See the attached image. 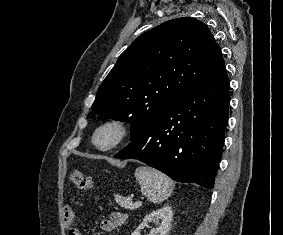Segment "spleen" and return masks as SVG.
Returning a JSON list of instances; mask_svg holds the SVG:
<instances>
[{
  "mask_svg": "<svg viewBox=\"0 0 283 235\" xmlns=\"http://www.w3.org/2000/svg\"><path fill=\"white\" fill-rule=\"evenodd\" d=\"M135 178L141 186L142 194L154 204L167 200L175 185L167 175L147 166L136 168Z\"/></svg>",
  "mask_w": 283,
  "mask_h": 235,
  "instance_id": "1",
  "label": "spleen"
}]
</instances>
